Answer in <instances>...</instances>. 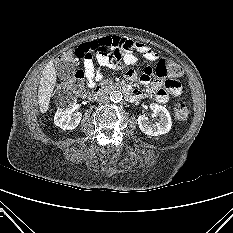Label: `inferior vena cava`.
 I'll use <instances>...</instances> for the list:
<instances>
[{"instance_id":"602c4592","label":"inferior vena cava","mask_w":233,"mask_h":233,"mask_svg":"<svg viewBox=\"0 0 233 233\" xmlns=\"http://www.w3.org/2000/svg\"><path fill=\"white\" fill-rule=\"evenodd\" d=\"M108 100H109V97L104 93H101L97 96V101L100 103H107Z\"/></svg>"}]
</instances>
